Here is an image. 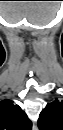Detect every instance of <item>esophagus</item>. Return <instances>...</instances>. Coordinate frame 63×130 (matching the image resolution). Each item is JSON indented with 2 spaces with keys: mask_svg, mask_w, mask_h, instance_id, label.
Here are the masks:
<instances>
[{
  "mask_svg": "<svg viewBox=\"0 0 63 130\" xmlns=\"http://www.w3.org/2000/svg\"><path fill=\"white\" fill-rule=\"evenodd\" d=\"M32 129H33V130H37V126H36V124H33Z\"/></svg>",
  "mask_w": 63,
  "mask_h": 130,
  "instance_id": "esophagus-1",
  "label": "esophagus"
}]
</instances>
